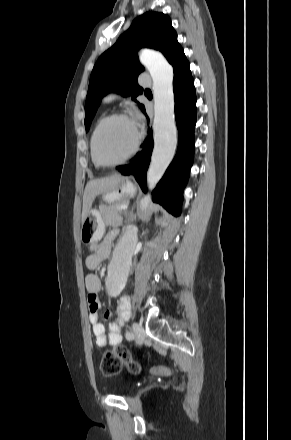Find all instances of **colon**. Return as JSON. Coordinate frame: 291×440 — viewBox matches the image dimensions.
Returning <instances> with one entry per match:
<instances>
[{
	"instance_id": "obj_1",
	"label": "colon",
	"mask_w": 291,
	"mask_h": 440,
	"mask_svg": "<svg viewBox=\"0 0 291 440\" xmlns=\"http://www.w3.org/2000/svg\"><path fill=\"white\" fill-rule=\"evenodd\" d=\"M124 364L131 373H138L140 371V365L135 361L128 349L123 345H116L111 350L105 352L101 359L100 370L105 376L117 375ZM165 372L169 371V368H164Z\"/></svg>"
}]
</instances>
